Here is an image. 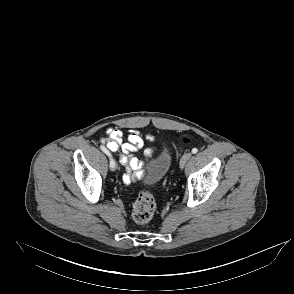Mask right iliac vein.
I'll list each match as a JSON object with an SVG mask.
<instances>
[{"label":"right iliac vein","instance_id":"obj_1","mask_svg":"<svg viewBox=\"0 0 294 294\" xmlns=\"http://www.w3.org/2000/svg\"><path fill=\"white\" fill-rule=\"evenodd\" d=\"M116 168H117V166L115 165V166H110V169L112 170V171H115L116 170Z\"/></svg>","mask_w":294,"mask_h":294}]
</instances>
